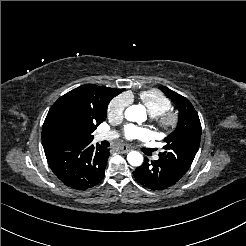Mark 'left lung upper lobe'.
I'll return each mask as SVG.
<instances>
[{
    "label": "left lung upper lobe",
    "mask_w": 246,
    "mask_h": 246,
    "mask_svg": "<svg viewBox=\"0 0 246 246\" xmlns=\"http://www.w3.org/2000/svg\"><path fill=\"white\" fill-rule=\"evenodd\" d=\"M176 105L179 120L176 129L165 138L159 158L185 174L191 166L201 140V123L189 100L165 86L159 87Z\"/></svg>",
    "instance_id": "left-lung-upper-lobe-1"
}]
</instances>
